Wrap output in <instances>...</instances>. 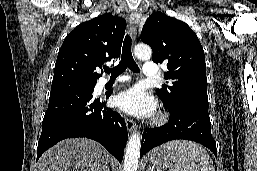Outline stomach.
<instances>
[{
  "mask_svg": "<svg viewBox=\"0 0 257 171\" xmlns=\"http://www.w3.org/2000/svg\"><path fill=\"white\" fill-rule=\"evenodd\" d=\"M177 161V157L171 151L166 149L164 146L154 149L149 158L150 164L157 171H172V167Z\"/></svg>",
  "mask_w": 257,
  "mask_h": 171,
  "instance_id": "stomach-1",
  "label": "stomach"
}]
</instances>
